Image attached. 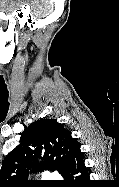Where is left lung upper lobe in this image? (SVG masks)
I'll return each instance as SVG.
<instances>
[{
  "instance_id": "obj_1",
  "label": "left lung upper lobe",
  "mask_w": 119,
  "mask_h": 187,
  "mask_svg": "<svg viewBox=\"0 0 119 187\" xmlns=\"http://www.w3.org/2000/svg\"><path fill=\"white\" fill-rule=\"evenodd\" d=\"M78 142L71 132L55 119H39L25 126L20 144L3 160L0 187H25L28 170H58L63 174L68 166L72 149ZM43 155V163L37 159Z\"/></svg>"
}]
</instances>
